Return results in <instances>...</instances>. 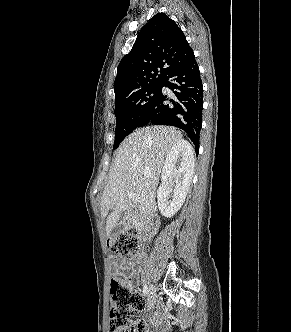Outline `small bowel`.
I'll return each mask as SVG.
<instances>
[{"label":"small bowel","instance_id":"obj_1","mask_svg":"<svg viewBox=\"0 0 291 332\" xmlns=\"http://www.w3.org/2000/svg\"><path fill=\"white\" fill-rule=\"evenodd\" d=\"M114 265L117 268L123 269L125 271H127L130 274L131 278H135V269L133 266L126 264L125 262L122 261H116L114 263ZM160 317H161V313H156L155 316H153L152 321L156 324H158L160 322Z\"/></svg>","mask_w":291,"mask_h":332}]
</instances>
